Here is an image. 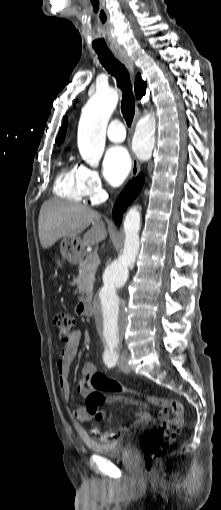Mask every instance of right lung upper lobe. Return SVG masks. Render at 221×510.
<instances>
[{"mask_svg":"<svg viewBox=\"0 0 221 510\" xmlns=\"http://www.w3.org/2000/svg\"><path fill=\"white\" fill-rule=\"evenodd\" d=\"M135 93L138 98H141L146 93V82H144L141 79L139 74L136 76V80H135ZM66 127H67V119L64 121V123L61 127V130L59 132L58 140H57L58 144L62 143L64 140Z\"/></svg>","mask_w":221,"mask_h":510,"instance_id":"cb5924a9","label":"right lung upper lobe"}]
</instances>
